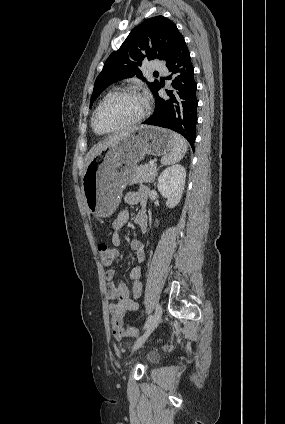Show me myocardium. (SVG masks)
I'll return each instance as SVG.
<instances>
[{"label": "myocardium", "mask_w": 285, "mask_h": 424, "mask_svg": "<svg viewBox=\"0 0 285 424\" xmlns=\"http://www.w3.org/2000/svg\"><path fill=\"white\" fill-rule=\"evenodd\" d=\"M121 95H138V96L142 97L144 102H145V107H144L143 112L137 118H135L134 120H132L128 123H125L121 126L111 128V129H107V130L99 129L97 127V124H96V117H97L99 110L110 99L117 97V96H121ZM149 111H150V102H149L148 98L138 89H136V88H125V89H121V90H118V91H114V92L108 94L107 96H105L101 100V102L98 104V106L95 108L93 115H92V120H91L92 128L97 134H100V135L121 132V131L127 130V129L139 124L140 122H142L147 117V115L149 114Z\"/></svg>", "instance_id": "obj_1"}]
</instances>
